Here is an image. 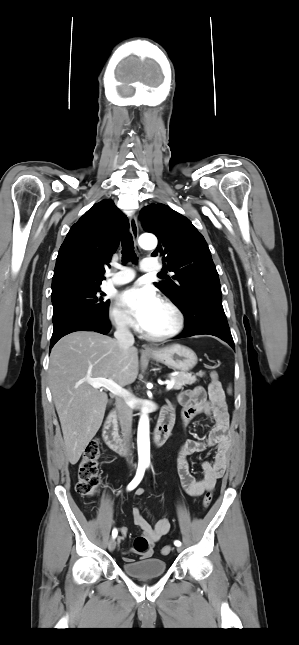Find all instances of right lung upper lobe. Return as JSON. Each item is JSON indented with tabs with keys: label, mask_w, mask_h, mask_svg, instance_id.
Wrapping results in <instances>:
<instances>
[{
	"label": "right lung upper lobe",
	"mask_w": 299,
	"mask_h": 645,
	"mask_svg": "<svg viewBox=\"0 0 299 645\" xmlns=\"http://www.w3.org/2000/svg\"><path fill=\"white\" fill-rule=\"evenodd\" d=\"M128 219L113 201L92 206L68 232L58 252L52 294L74 286H100Z\"/></svg>",
	"instance_id": "right-lung-upper-lobe-1"
}]
</instances>
